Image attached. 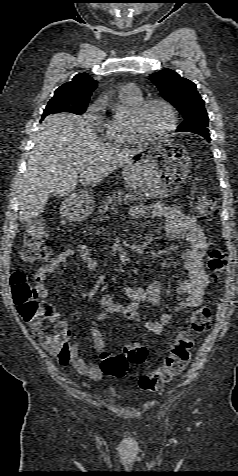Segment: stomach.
I'll return each mask as SVG.
<instances>
[{"mask_svg":"<svg viewBox=\"0 0 238 476\" xmlns=\"http://www.w3.org/2000/svg\"><path fill=\"white\" fill-rule=\"evenodd\" d=\"M189 153L172 141L165 144H146L145 149L133 152L132 160L123 165L125 184L146 196L165 197L177 192L190 172ZM94 207L92 194L85 191L65 200L64 214L71 219H84Z\"/></svg>","mask_w":238,"mask_h":476,"instance_id":"1","label":"stomach"}]
</instances>
